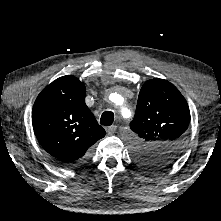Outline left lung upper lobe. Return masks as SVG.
Wrapping results in <instances>:
<instances>
[{
	"label": "left lung upper lobe",
	"mask_w": 221,
	"mask_h": 221,
	"mask_svg": "<svg viewBox=\"0 0 221 221\" xmlns=\"http://www.w3.org/2000/svg\"><path fill=\"white\" fill-rule=\"evenodd\" d=\"M190 111L170 82L155 78L141 88L132 131L138 136L134 158L142 165L163 170L177 160L185 144Z\"/></svg>",
	"instance_id": "left-lung-upper-lobe-1"
}]
</instances>
